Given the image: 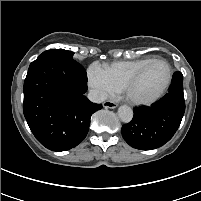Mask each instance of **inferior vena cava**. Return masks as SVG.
Wrapping results in <instances>:
<instances>
[{"mask_svg":"<svg viewBox=\"0 0 201 201\" xmlns=\"http://www.w3.org/2000/svg\"><path fill=\"white\" fill-rule=\"evenodd\" d=\"M106 98V94L98 90H90L88 93V99L93 103H102Z\"/></svg>","mask_w":201,"mask_h":201,"instance_id":"obj_1","label":"inferior vena cava"}]
</instances>
